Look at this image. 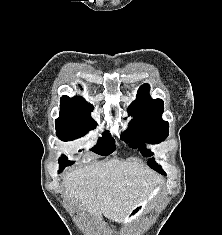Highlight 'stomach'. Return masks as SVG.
<instances>
[{
    "instance_id": "0dacf381",
    "label": "stomach",
    "mask_w": 222,
    "mask_h": 235,
    "mask_svg": "<svg viewBox=\"0 0 222 235\" xmlns=\"http://www.w3.org/2000/svg\"><path fill=\"white\" fill-rule=\"evenodd\" d=\"M161 185H157L152 189V191L142 199L140 203H138L128 214V216L124 220V226L128 225L129 223L133 222L137 218H139L147 209L148 205L152 203L160 194L161 192Z\"/></svg>"
}]
</instances>
